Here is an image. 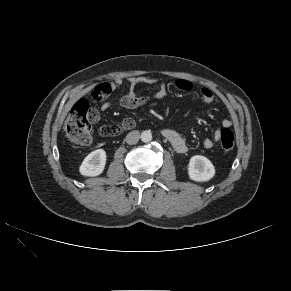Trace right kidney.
<instances>
[{
    "mask_svg": "<svg viewBox=\"0 0 291 291\" xmlns=\"http://www.w3.org/2000/svg\"><path fill=\"white\" fill-rule=\"evenodd\" d=\"M105 164L106 152L103 149H97L85 157L79 171L83 176H98L103 172Z\"/></svg>",
    "mask_w": 291,
    "mask_h": 291,
    "instance_id": "1",
    "label": "right kidney"
}]
</instances>
